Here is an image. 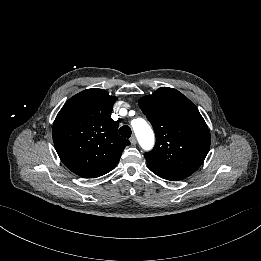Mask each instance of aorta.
Wrapping results in <instances>:
<instances>
[{"instance_id":"obj_1","label":"aorta","mask_w":261,"mask_h":261,"mask_svg":"<svg viewBox=\"0 0 261 261\" xmlns=\"http://www.w3.org/2000/svg\"><path fill=\"white\" fill-rule=\"evenodd\" d=\"M131 124L140 146L146 151L151 150L154 145V133L148 123L142 118H137Z\"/></svg>"}]
</instances>
